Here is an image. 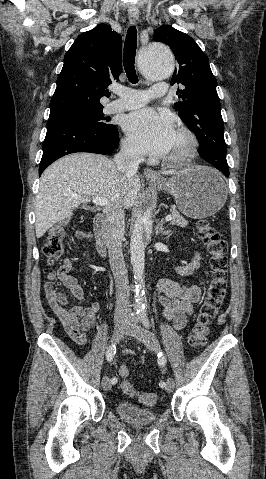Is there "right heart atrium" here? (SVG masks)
Segmentation results:
<instances>
[{"label": "right heart atrium", "instance_id": "obj_1", "mask_svg": "<svg viewBox=\"0 0 266 479\" xmlns=\"http://www.w3.org/2000/svg\"><path fill=\"white\" fill-rule=\"evenodd\" d=\"M122 149L126 156L133 159L140 158L138 150L135 148L134 144L127 138L123 139L122 141Z\"/></svg>", "mask_w": 266, "mask_h": 479}]
</instances>
